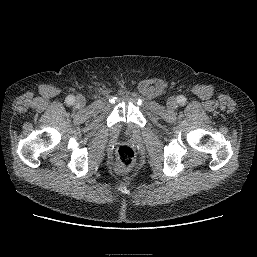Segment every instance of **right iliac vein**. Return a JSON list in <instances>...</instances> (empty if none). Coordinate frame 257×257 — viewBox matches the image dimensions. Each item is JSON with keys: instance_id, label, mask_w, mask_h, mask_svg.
<instances>
[{"instance_id": "63e3f726", "label": "right iliac vein", "mask_w": 257, "mask_h": 257, "mask_svg": "<svg viewBox=\"0 0 257 257\" xmlns=\"http://www.w3.org/2000/svg\"><path fill=\"white\" fill-rule=\"evenodd\" d=\"M86 104V100L82 95H79L76 97L75 99V107L76 108H82L84 107Z\"/></svg>"}]
</instances>
